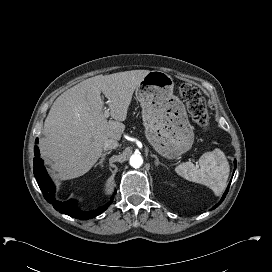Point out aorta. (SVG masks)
I'll return each instance as SVG.
<instances>
[{
	"instance_id": "aorta-1",
	"label": "aorta",
	"mask_w": 272,
	"mask_h": 272,
	"mask_svg": "<svg viewBox=\"0 0 272 272\" xmlns=\"http://www.w3.org/2000/svg\"><path fill=\"white\" fill-rule=\"evenodd\" d=\"M129 162L132 167L139 168L143 164V158L140 154H133Z\"/></svg>"
}]
</instances>
